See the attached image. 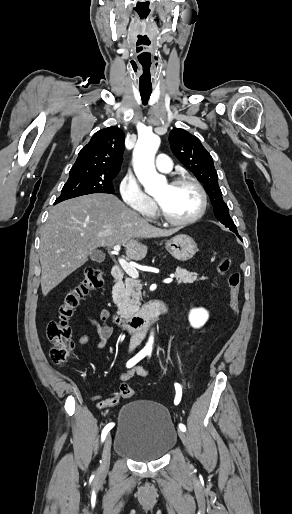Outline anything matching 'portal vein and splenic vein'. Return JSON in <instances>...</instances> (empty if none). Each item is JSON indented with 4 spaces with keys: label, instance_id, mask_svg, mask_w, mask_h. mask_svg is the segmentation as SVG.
<instances>
[{
    "label": "portal vein and splenic vein",
    "instance_id": "1",
    "mask_svg": "<svg viewBox=\"0 0 292 514\" xmlns=\"http://www.w3.org/2000/svg\"><path fill=\"white\" fill-rule=\"evenodd\" d=\"M119 250H121V246H114L113 252L111 254H119ZM118 262L123 268L124 272L130 276V278H138L139 272H137L136 268L132 266V264H128L126 260H123V258H118ZM164 284H170L172 282V278H167V280H163Z\"/></svg>",
    "mask_w": 292,
    "mask_h": 514
}]
</instances>
